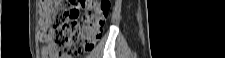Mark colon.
<instances>
[{
  "label": "colon",
  "mask_w": 225,
  "mask_h": 58,
  "mask_svg": "<svg viewBox=\"0 0 225 58\" xmlns=\"http://www.w3.org/2000/svg\"><path fill=\"white\" fill-rule=\"evenodd\" d=\"M109 8L106 0L40 1L38 39L44 44L42 56L61 58L91 50L102 36Z\"/></svg>",
  "instance_id": "1"
}]
</instances>
